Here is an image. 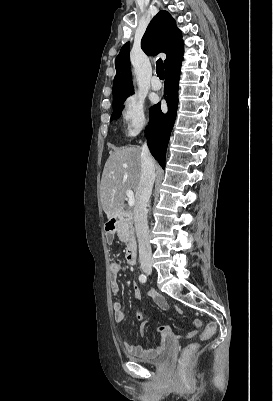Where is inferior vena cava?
I'll return each mask as SVG.
<instances>
[{"label":"inferior vena cava","instance_id":"602c4592","mask_svg":"<svg viewBox=\"0 0 273 401\" xmlns=\"http://www.w3.org/2000/svg\"><path fill=\"white\" fill-rule=\"evenodd\" d=\"M140 182L137 186V203L134 207L135 231L138 239L139 259L148 261L151 259V247L148 239L147 203L151 196L154 180L155 166L149 152L147 142H144L141 150Z\"/></svg>","mask_w":273,"mask_h":401}]
</instances>
